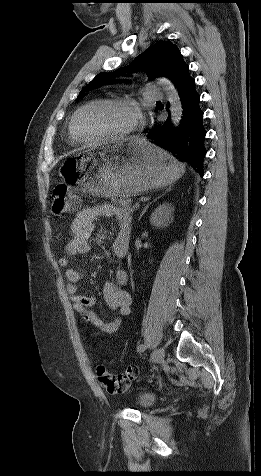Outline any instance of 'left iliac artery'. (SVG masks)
Returning a JSON list of instances; mask_svg holds the SVG:
<instances>
[{
    "instance_id": "left-iliac-artery-1",
    "label": "left iliac artery",
    "mask_w": 261,
    "mask_h": 476,
    "mask_svg": "<svg viewBox=\"0 0 261 476\" xmlns=\"http://www.w3.org/2000/svg\"><path fill=\"white\" fill-rule=\"evenodd\" d=\"M147 349V345L146 344H140L138 347H137V351L138 352H143Z\"/></svg>"
}]
</instances>
